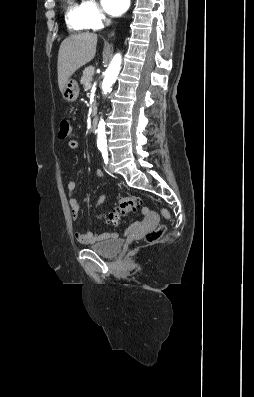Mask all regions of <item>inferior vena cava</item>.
I'll return each mask as SVG.
<instances>
[{"label": "inferior vena cava", "mask_w": 254, "mask_h": 397, "mask_svg": "<svg viewBox=\"0 0 254 397\" xmlns=\"http://www.w3.org/2000/svg\"><path fill=\"white\" fill-rule=\"evenodd\" d=\"M108 24H110V20H107V21H106V25H108Z\"/></svg>", "instance_id": "obj_1"}]
</instances>
